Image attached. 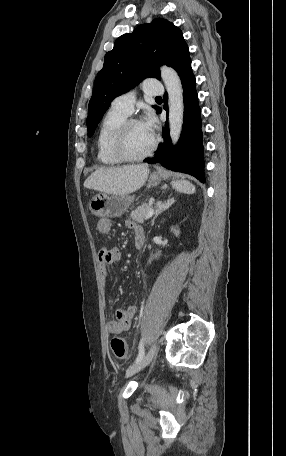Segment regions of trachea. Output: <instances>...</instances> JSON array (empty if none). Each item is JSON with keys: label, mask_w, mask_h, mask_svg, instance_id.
Masks as SVG:
<instances>
[{"label": "trachea", "mask_w": 286, "mask_h": 456, "mask_svg": "<svg viewBox=\"0 0 286 456\" xmlns=\"http://www.w3.org/2000/svg\"><path fill=\"white\" fill-rule=\"evenodd\" d=\"M159 98H161V97H160V96H157V97H156V99H159Z\"/></svg>", "instance_id": "trachea-1"}]
</instances>
